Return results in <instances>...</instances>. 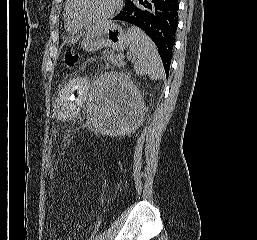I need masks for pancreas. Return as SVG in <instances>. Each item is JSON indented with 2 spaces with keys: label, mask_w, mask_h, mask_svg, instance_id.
<instances>
[{
  "label": "pancreas",
  "mask_w": 257,
  "mask_h": 240,
  "mask_svg": "<svg viewBox=\"0 0 257 240\" xmlns=\"http://www.w3.org/2000/svg\"><path fill=\"white\" fill-rule=\"evenodd\" d=\"M120 56H123V55H121V54L115 55L114 52L108 51L103 55V58L107 57L108 63H111L112 65L120 66L121 60L118 59Z\"/></svg>",
  "instance_id": "obj_1"
}]
</instances>
